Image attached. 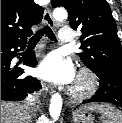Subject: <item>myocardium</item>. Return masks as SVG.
Wrapping results in <instances>:
<instances>
[{
	"label": "myocardium",
	"instance_id": "1",
	"mask_svg": "<svg viewBox=\"0 0 122 123\" xmlns=\"http://www.w3.org/2000/svg\"><path fill=\"white\" fill-rule=\"evenodd\" d=\"M98 86V76L89 68H82L79 70L69 94L74 100H84L93 95Z\"/></svg>",
	"mask_w": 122,
	"mask_h": 123
}]
</instances>
